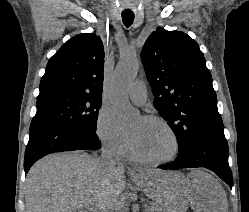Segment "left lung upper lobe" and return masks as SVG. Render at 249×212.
Returning <instances> with one entry per match:
<instances>
[{"mask_svg": "<svg viewBox=\"0 0 249 212\" xmlns=\"http://www.w3.org/2000/svg\"><path fill=\"white\" fill-rule=\"evenodd\" d=\"M141 59L154 107L174 131L179 150L198 134L223 130L212 77L195 40L158 29L146 40Z\"/></svg>", "mask_w": 249, "mask_h": 212, "instance_id": "left-lung-upper-lobe-1", "label": "left lung upper lobe"}]
</instances>
